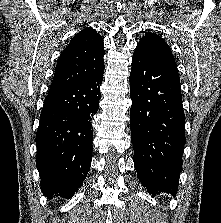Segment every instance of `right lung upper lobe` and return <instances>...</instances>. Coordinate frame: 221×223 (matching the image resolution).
Segmentation results:
<instances>
[{
	"mask_svg": "<svg viewBox=\"0 0 221 223\" xmlns=\"http://www.w3.org/2000/svg\"><path fill=\"white\" fill-rule=\"evenodd\" d=\"M104 54L100 34L91 27L81 30L61 53L49 92L74 86L99 73L104 69Z\"/></svg>",
	"mask_w": 221,
	"mask_h": 223,
	"instance_id": "cb5924a9",
	"label": "right lung upper lobe"
}]
</instances>
